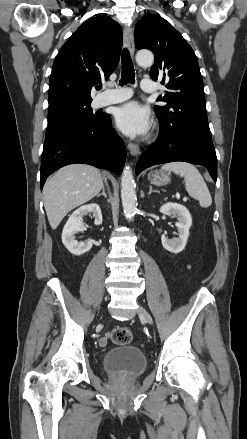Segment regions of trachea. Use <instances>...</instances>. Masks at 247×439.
<instances>
[{"mask_svg": "<svg viewBox=\"0 0 247 439\" xmlns=\"http://www.w3.org/2000/svg\"><path fill=\"white\" fill-rule=\"evenodd\" d=\"M121 62H122V73H121L120 85L123 86L124 84L127 83L133 84L135 82L134 65L132 63L129 51L127 49H124L122 52ZM99 89H101V87H99Z\"/></svg>", "mask_w": 247, "mask_h": 439, "instance_id": "trachea-1", "label": "trachea"}]
</instances>
